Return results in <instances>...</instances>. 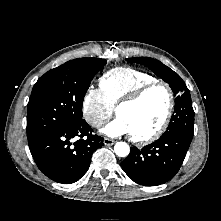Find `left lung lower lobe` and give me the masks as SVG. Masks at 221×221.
Listing matches in <instances>:
<instances>
[{
  "label": "left lung lower lobe",
  "mask_w": 221,
  "mask_h": 221,
  "mask_svg": "<svg viewBox=\"0 0 221 221\" xmlns=\"http://www.w3.org/2000/svg\"><path fill=\"white\" fill-rule=\"evenodd\" d=\"M192 138L182 134H163L157 141L138 149L121 162L122 169L134 182L157 186L172 179L179 171Z\"/></svg>",
  "instance_id": "obj_1"
}]
</instances>
